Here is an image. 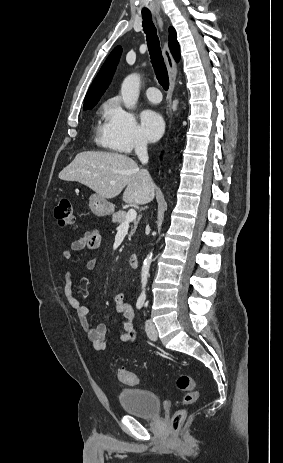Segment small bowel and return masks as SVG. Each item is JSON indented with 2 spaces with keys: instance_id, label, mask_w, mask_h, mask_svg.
<instances>
[{
  "instance_id": "obj_1",
  "label": "small bowel",
  "mask_w": 283,
  "mask_h": 463,
  "mask_svg": "<svg viewBox=\"0 0 283 463\" xmlns=\"http://www.w3.org/2000/svg\"><path fill=\"white\" fill-rule=\"evenodd\" d=\"M101 243V234L98 229H89L85 234L74 240L70 246L63 251V258L67 261L71 260L76 252L84 249L96 250ZM97 265L95 258L89 259L86 262L88 269H93ZM64 296L67 303L75 311L78 321L95 350L102 351L107 348L105 338L107 328L104 323H98L92 326L88 321V308L83 305L77 298L74 292V276L72 271L66 270L63 277ZM115 309L124 319L122 323V333L120 334V343H133L136 340V331L133 324L134 310L131 304L126 300L124 294L118 293L114 297Z\"/></svg>"
}]
</instances>
